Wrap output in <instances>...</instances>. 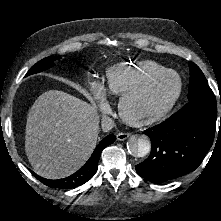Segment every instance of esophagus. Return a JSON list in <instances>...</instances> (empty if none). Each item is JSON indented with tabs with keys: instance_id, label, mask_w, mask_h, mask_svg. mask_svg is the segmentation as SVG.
<instances>
[{
	"instance_id": "esophagus-1",
	"label": "esophagus",
	"mask_w": 221,
	"mask_h": 221,
	"mask_svg": "<svg viewBox=\"0 0 221 221\" xmlns=\"http://www.w3.org/2000/svg\"><path fill=\"white\" fill-rule=\"evenodd\" d=\"M129 136H130V133L120 132V133L117 134V139H118L119 141H124V140H126Z\"/></svg>"
}]
</instances>
